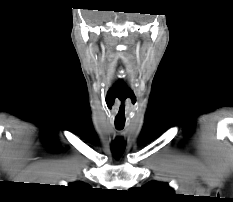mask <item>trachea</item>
<instances>
[{"label": "trachea", "mask_w": 233, "mask_h": 202, "mask_svg": "<svg viewBox=\"0 0 233 202\" xmlns=\"http://www.w3.org/2000/svg\"><path fill=\"white\" fill-rule=\"evenodd\" d=\"M116 128H117L118 130H121V129L124 128V125H116Z\"/></svg>", "instance_id": "3493384b"}]
</instances>
